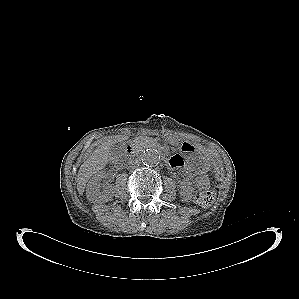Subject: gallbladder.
<instances>
[{"mask_svg": "<svg viewBox=\"0 0 299 299\" xmlns=\"http://www.w3.org/2000/svg\"><path fill=\"white\" fill-rule=\"evenodd\" d=\"M124 150H125V145L123 143H117L111 147L110 153L111 155L114 156L115 154L123 153Z\"/></svg>", "mask_w": 299, "mask_h": 299, "instance_id": "gallbladder-1", "label": "gallbladder"}]
</instances>
